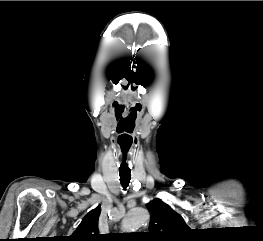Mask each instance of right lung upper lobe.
<instances>
[{
  "label": "right lung upper lobe",
  "mask_w": 263,
  "mask_h": 241,
  "mask_svg": "<svg viewBox=\"0 0 263 241\" xmlns=\"http://www.w3.org/2000/svg\"><path fill=\"white\" fill-rule=\"evenodd\" d=\"M100 212V205L91 210L70 236V241H105L107 237L99 234L98 230Z\"/></svg>",
  "instance_id": "1"
}]
</instances>
